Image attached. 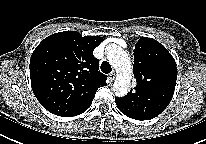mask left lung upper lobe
Segmentation results:
<instances>
[{
  "instance_id": "left-lung-upper-lobe-1",
  "label": "left lung upper lobe",
  "mask_w": 206,
  "mask_h": 144,
  "mask_svg": "<svg viewBox=\"0 0 206 144\" xmlns=\"http://www.w3.org/2000/svg\"><path fill=\"white\" fill-rule=\"evenodd\" d=\"M133 73L137 86L121 98L131 116L139 115L143 100L165 109L170 103L176 85V62L158 41L143 37L134 49Z\"/></svg>"
}]
</instances>
